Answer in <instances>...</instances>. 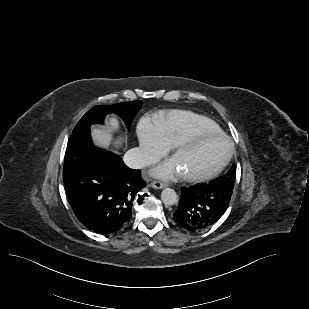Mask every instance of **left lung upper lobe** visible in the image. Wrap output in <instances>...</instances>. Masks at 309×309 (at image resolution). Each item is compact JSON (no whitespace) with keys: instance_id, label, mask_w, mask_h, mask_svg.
I'll use <instances>...</instances> for the list:
<instances>
[{"instance_id":"left-lung-upper-lobe-1","label":"left lung upper lobe","mask_w":309,"mask_h":309,"mask_svg":"<svg viewBox=\"0 0 309 309\" xmlns=\"http://www.w3.org/2000/svg\"><path fill=\"white\" fill-rule=\"evenodd\" d=\"M235 176H236V165L233 164L230 170L227 172V174L217 179L215 181V184L219 186L234 187Z\"/></svg>"}]
</instances>
